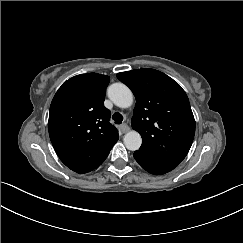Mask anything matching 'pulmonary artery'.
Instances as JSON below:
<instances>
[{
  "instance_id": "pulmonary-artery-1",
  "label": "pulmonary artery",
  "mask_w": 243,
  "mask_h": 243,
  "mask_svg": "<svg viewBox=\"0 0 243 243\" xmlns=\"http://www.w3.org/2000/svg\"><path fill=\"white\" fill-rule=\"evenodd\" d=\"M119 105H123L121 102H117Z\"/></svg>"
}]
</instances>
